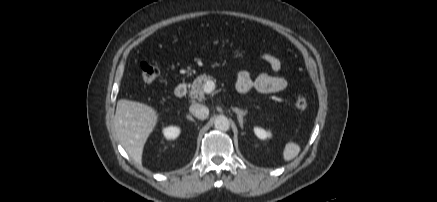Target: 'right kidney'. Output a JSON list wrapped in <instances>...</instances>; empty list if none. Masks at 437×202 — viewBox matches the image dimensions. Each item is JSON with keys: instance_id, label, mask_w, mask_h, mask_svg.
<instances>
[{"instance_id": "obj_1", "label": "right kidney", "mask_w": 437, "mask_h": 202, "mask_svg": "<svg viewBox=\"0 0 437 202\" xmlns=\"http://www.w3.org/2000/svg\"><path fill=\"white\" fill-rule=\"evenodd\" d=\"M163 134L167 140H174L179 136L180 128L175 127V126H170V127L164 128Z\"/></svg>"}]
</instances>
